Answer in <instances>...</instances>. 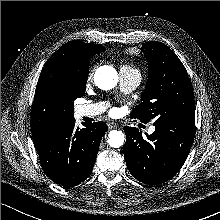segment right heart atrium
I'll list each match as a JSON object with an SVG mask.
<instances>
[{"label":"right heart atrium","instance_id":"right-heart-atrium-1","mask_svg":"<svg viewBox=\"0 0 220 220\" xmlns=\"http://www.w3.org/2000/svg\"><path fill=\"white\" fill-rule=\"evenodd\" d=\"M91 78H92V72L89 73L88 80H91Z\"/></svg>","mask_w":220,"mask_h":220}]
</instances>
